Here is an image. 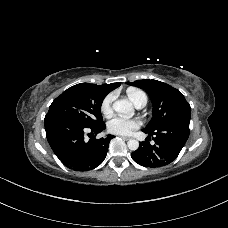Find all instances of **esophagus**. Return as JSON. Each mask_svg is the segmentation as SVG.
Segmentation results:
<instances>
[{"label": "esophagus", "mask_w": 228, "mask_h": 228, "mask_svg": "<svg viewBox=\"0 0 228 228\" xmlns=\"http://www.w3.org/2000/svg\"><path fill=\"white\" fill-rule=\"evenodd\" d=\"M120 138H122L124 140H130L131 139V137H129V136H120Z\"/></svg>", "instance_id": "34e87169"}]
</instances>
